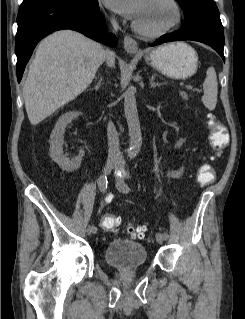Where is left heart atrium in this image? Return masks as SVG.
Returning a JSON list of instances; mask_svg holds the SVG:
<instances>
[{
    "instance_id": "1",
    "label": "left heart atrium",
    "mask_w": 245,
    "mask_h": 319,
    "mask_svg": "<svg viewBox=\"0 0 245 319\" xmlns=\"http://www.w3.org/2000/svg\"><path fill=\"white\" fill-rule=\"evenodd\" d=\"M111 10L124 17L136 20L140 15L146 0H102Z\"/></svg>"
}]
</instances>
